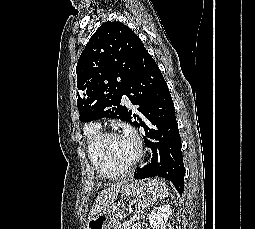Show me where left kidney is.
<instances>
[{
	"label": "left kidney",
	"mask_w": 255,
	"mask_h": 229,
	"mask_svg": "<svg viewBox=\"0 0 255 229\" xmlns=\"http://www.w3.org/2000/svg\"><path fill=\"white\" fill-rule=\"evenodd\" d=\"M171 214L169 204L154 207L149 216L150 225L153 229H165V224Z\"/></svg>",
	"instance_id": "obj_1"
}]
</instances>
